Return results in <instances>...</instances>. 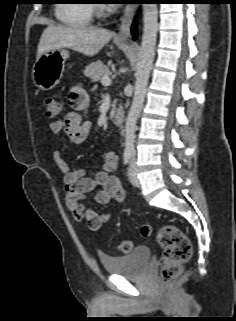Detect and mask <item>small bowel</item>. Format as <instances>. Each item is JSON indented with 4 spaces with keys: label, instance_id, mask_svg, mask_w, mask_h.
I'll return each instance as SVG.
<instances>
[{
    "label": "small bowel",
    "instance_id": "obj_1",
    "mask_svg": "<svg viewBox=\"0 0 236 321\" xmlns=\"http://www.w3.org/2000/svg\"><path fill=\"white\" fill-rule=\"evenodd\" d=\"M72 111L63 118L50 124L51 131L56 135L66 134L74 143L84 142L91 131V123L83 120L81 112L88 106V93L79 88H73L68 94ZM54 159L63 176L64 202L74 219L85 222L90 229L97 230L111 218V213L99 214L81 204L84 196L97 187L95 200L99 204L112 201L120 203L125 198V192L116 175L119 159L116 152H108L104 157V168L95 177H85L82 169H71L63 159L62 152L56 150Z\"/></svg>",
    "mask_w": 236,
    "mask_h": 321
}]
</instances>
